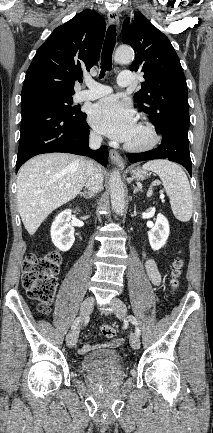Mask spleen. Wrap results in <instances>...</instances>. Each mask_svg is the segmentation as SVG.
Segmentation results:
<instances>
[{
	"label": "spleen",
	"mask_w": 213,
	"mask_h": 433,
	"mask_svg": "<svg viewBox=\"0 0 213 433\" xmlns=\"http://www.w3.org/2000/svg\"><path fill=\"white\" fill-rule=\"evenodd\" d=\"M143 169L156 173L169 196L174 216L188 222L193 213V198L188 178L183 169L168 160H153L145 163Z\"/></svg>",
	"instance_id": "1"
}]
</instances>
